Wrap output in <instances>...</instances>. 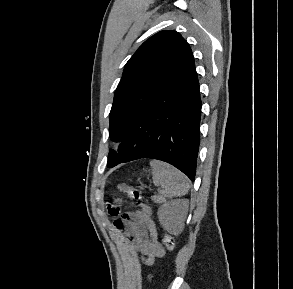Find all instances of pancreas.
I'll use <instances>...</instances> for the list:
<instances>
[{"label":"pancreas","instance_id":"pancreas-1","mask_svg":"<svg viewBox=\"0 0 293 289\" xmlns=\"http://www.w3.org/2000/svg\"><path fill=\"white\" fill-rule=\"evenodd\" d=\"M151 198L155 202H162V198L159 195H154Z\"/></svg>","mask_w":293,"mask_h":289}]
</instances>
